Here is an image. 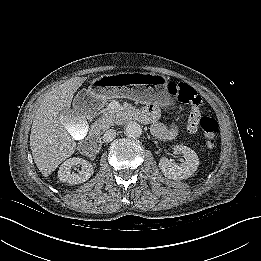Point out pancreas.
Segmentation results:
<instances>
[{"instance_id": "1", "label": "pancreas", "mask_w": 261, "mask_h": 261, "mask_svg": "<svg viewBox=\"0 0 261 261\" xmlns=\"http://www.w3.org/2000/svg\"><path fill=\"white\" fill-rule=\"evenodd\" d=\"M118 114L113 111L103 113V115L93 124L94 129L97 132L104 131L114 125Z\"/></svg>"}]
</instances>
